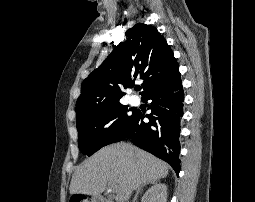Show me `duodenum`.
Masks as SVG:
<instances>
[{"mask_svg": "<svg viewBox=\"0 0 255 202\" xmlns=\"http://www.w3.org/2000/svg\"><path fill=\"white\" fill-rule=\"evenodd\" d=\"M91 202H107L106 199L99 195H94L91 197Z\"/></svg>", "mask_w": 255, "mask_h": 202, "instance_id": "obj_1", "label": "duodenum"}]
</instances>
